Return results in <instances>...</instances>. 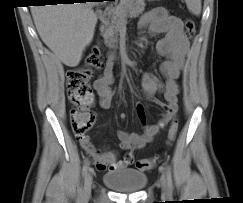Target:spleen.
<instances>
[{
  "instance_id": "spleen-1",
  "label": "spleen",
  "mask_w": 243,
  "mask_h": 203,
  "mask_svg": "<svg viewBox=\"0 0 243 203\" xmlns=\"http://www.w3.org/2000/svg\"><path fill=\"white\" fill-rule=\"evenodd\" d=\"M188 10L194 15L201 13V0H185Z\"/></svg>"
}]
</instances>
